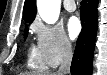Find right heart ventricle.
<instances>
[{"instance_id": "right-heart-ventricle-1", "label": "right heart ventricle", "mask_w": 107, "mask_h": 75, "mask_svg": "<svg viewBox=\"0 0 107 75\" xmlns=\"http://www.w3.org/2000/svg\"><path fill=\"white\" fill-rule=\"evenodd\" d=\"M27 65L32 69L42 70L46 64L41 59L37 48L31 47L28 53Z\"/></svg>"}]
</instances>
